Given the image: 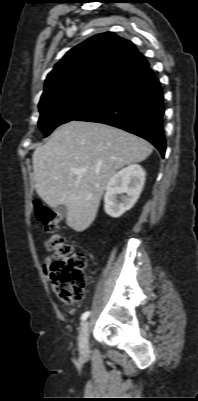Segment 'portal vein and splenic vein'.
<instances>
[{
  "mask_svg": "<svg viewBox=\"0 0 198 401\" xmlns=\"http://www.w3.org/2000/svg\"><path fill=\"white\" fill-rule=\"evenodd\" d=\"M84 171H80V172H78L77 174L79 175V176H82V175H84Z\"/></svg>",
  "mask_w": 198,
  "mask_h": 401,
  "instance_id": "portal-vein-and-splenic-vein-1",
  "label": "portal vein and splenic vein"
}]
</instances>
